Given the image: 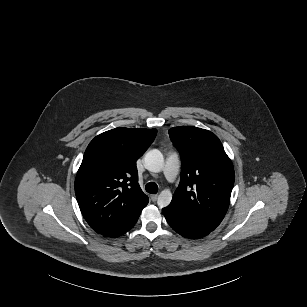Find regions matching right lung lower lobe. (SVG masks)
<instances>
[{
  "label": "right lung lower lobe",
  "instance_id": "right-lung-lower-lobe-1",
  "mask_svg": "<svg viewBox=\"0 0 307 307\" xmlns=\"http://www.w3.org/2000/svg\"><path fill=\"white\" fill-rule=\"evenodd\" d=\"M141 211L142 210H140L139 212L134 214L128 221H126L124 224H122L118 228L114 229L113 231H111L107 234H104V236L118 237V236L126 233L127 231H129L135 225V223L137 222Z\"/></svg>",
  "mask_w": 307,
  "mask_h": 307
}]
</instances>
